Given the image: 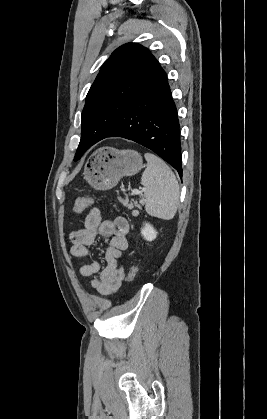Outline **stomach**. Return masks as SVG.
I'll use <instances>...</instances> for the list:
<instances>
[{
    "mask_svg": "<svg viewBox=\"0 0 267 419\" xmlns=\"http://www.w3.org/2000/svg\"><path fill=\"white\" fill-rule=\"evenodd\" d=\"M143 159L135 150L101 147L91 154L84 166V178L96 190H109L123 176H132L143 168Z\"/></svg>",
    "mask_w": 267,
    "mask_h": 419,
    "instance_id": "0dacf381",
    "label": "stomach"
}]
</instances>
